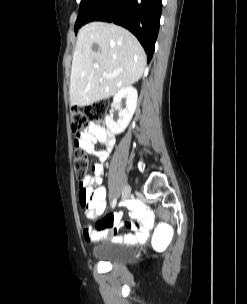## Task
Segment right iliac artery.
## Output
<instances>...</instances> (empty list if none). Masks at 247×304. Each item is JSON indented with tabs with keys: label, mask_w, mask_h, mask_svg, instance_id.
Segmentation results:
<instances>
[{
	"label": "right iliac artery",
	"mask_w": 247,
	"mask_h": 304,
	"mask_svg": "<svg viewBox=\"0 0 247 304\" xmlns=\"http://www.w3.org/2000/svg\"><path fill=\"white\" fill-rule=\"evenodd\" d=\"M115 205H116V200L113 201L112 207H114Z\"/></svg>",
	"instance_id": "1"
}]
</instances>
